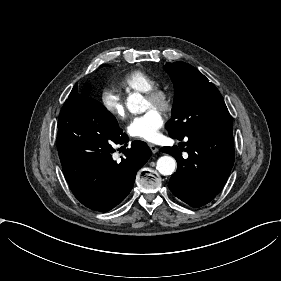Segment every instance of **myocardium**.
Masks as SVG:
<instances>
[{"instance_id":"myocardium-1","label":"myocardium","mask_w":281,"mask_h":281,"mask_svg":"<svg viewBox=\"0 0 281 281\" xmlns=\"http://www.w3.org/2000/svg\"><path fill=\"white\" fill-rule=\"evenodd\" d=\"M145 98L152 108L161 112H167L171 107V99L163 90L155 89L147 93Z\"/></svg>"}]
</instances>
